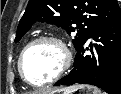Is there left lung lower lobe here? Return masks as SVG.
I'll use <instances>...</instances> for the list:
<instances>
[{
  "label": "left lung lower lobe",
  "instance_id": "0a47b994",
  "mask_svg": "<svg viewBox=\"0 0 121 94\" xmlns=\"http://www.w3.org/2000/svg\"><path fill=\"white\" fill-rule=\"evenodd\" d=\"M90 38L96 43L86 47V42L77 50L73 69L55 86L90 84L108 94H121V12L101 24ZM89 48L91 54L86 55Z\"/></svg>",
  "mask_w": 121,
  "mask_h": 94
}]
</instances>
